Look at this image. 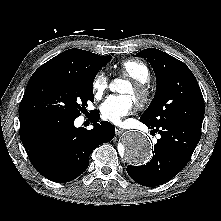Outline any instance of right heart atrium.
Here are the masks:
<instances>
[{"instance_id":"1","label":"right heart atrium","mask_w":221,"mask_h":221,"mask_svg":"<svg viewBox=\"0 0 221 221\" xmlns=\"http://www.w3.org/2000/svg\"><path fill=\"white\" fill-rule=\"evenodd\" d=\"M108 77L103 71H99L93 77L91 88L95 98H101L108 89Z\"/></svg>"}]
</instances>
